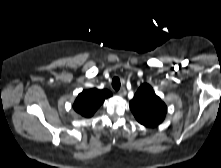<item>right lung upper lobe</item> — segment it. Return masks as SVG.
Here are the masks:
<instances>
[{
  "mask_svg": "<svg viewBox=\"0 0 221 168\" xmlns=\"http://www.w3.org/2000/svg\"><path fill=\"white\" fill-rule=\"evenodd\" d=\"M112 93L106 89L96 88L83 90L76 98L73 108L83 117H91L103 104L104 100L111 97Z\"/></svg>",
  "mask_w": 221,
  "mask_h": 168,
  "instance_id": "right-lung-upper-lobe-1",
  "label": "right lung upper lobe"
}]
</instances>
